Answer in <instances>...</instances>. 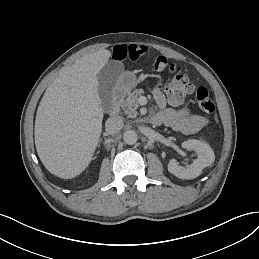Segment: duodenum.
<instances>
[{
	"instance_id": "obj_1",
	"label": "duodenum",
	"mask_w": 259,
	"mask_h": 259,
	"mask_svg": "<svg viewBox=\"0 0 259 259\" xmlns=\"http://www.w3.org/2000/svg\"><path fill=\"white\" fill-rule=\"evenodd\" d=\"M125 92L126 91L124 87H117L114 89L111 102L108 107V112L110 115H114L118 112L120 103L125 95Z\"/></svg>"
}]
</instances>
